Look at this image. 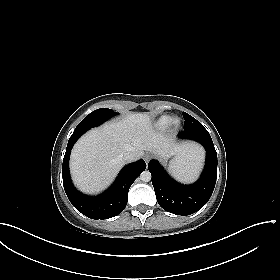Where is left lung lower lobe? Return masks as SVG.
Wrapping results in <instances>:
<instances>
[{
  "instance_id": "0a47b994",
  "label": "left lung lower lobe",
  "mask_w": 280,
  "mask_h": 280,
  "mask_svg": "<svg viewBox=\"0 0 280 280\" xmlns=\"http://www.w3.org/2000/svg\"><path fill=\"white\" fill-rule=\"evenodd\" d=\"M179 138L192 139L201 143L206 150V163L200 179L192 185L174 181L156 161L151 160L148 169L159 205L176 215H190L200 210L210 199L217 170V153L206 129L181 131Z\"/></svg>"
}]
</instances>
